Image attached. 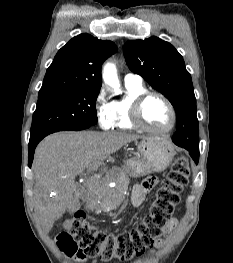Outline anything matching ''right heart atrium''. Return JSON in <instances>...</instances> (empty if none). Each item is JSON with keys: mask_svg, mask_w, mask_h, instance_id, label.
<instances>
[{"mask_svg": "<svg viewBox=\"0 0 233 263\" xmlns=\"http://www.w3.org/2000/svg\"><path fill=\"white\" fill-rule=\"evenodd\" d=\"M94 111L103 130H111L115 126V116L112 108V102L109 101L107 91L101 87L94 100Z\"/></svg>", "mask_w": 233, "mask_h": 263, "instance_id": "1", "label": "right heart atrium"}]
</instances>
